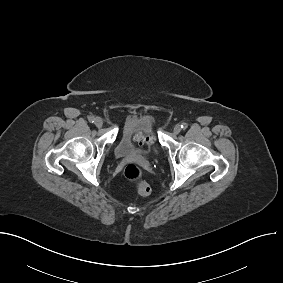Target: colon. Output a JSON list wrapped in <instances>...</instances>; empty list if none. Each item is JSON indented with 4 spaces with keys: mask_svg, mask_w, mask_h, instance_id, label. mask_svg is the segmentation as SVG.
Masks as SVG:
<instances>
[{
    "mask_svg": "<svg viewBox=\"0 0 283 283\" xmlns=\"http://www.w3.org/2000/svg\"><path fill=\"white\" fill-rule=\"evenodd\" d=\"M138 141L144 144L148 142V138L139 136ZM124 175L128 180L135 182L137 191L140 195L147 196L150 193V186L142 179V170L138 165H127L124 170Z\"/></svg>",
    "mask_w": 283,
    "mask_h": 283,
    "instance_id": "obj_1",
    "label": "colon"
}]
</instances>
